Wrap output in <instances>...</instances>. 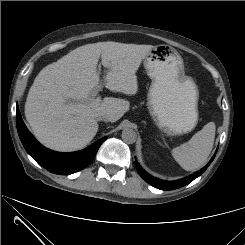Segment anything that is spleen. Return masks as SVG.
<instances>
[{"label":"spleen","mask_w":245,"mask_h":245,"mask_svg":"<svg viewBox=\"0 0 245 245\" xmlns=\"http://www.w3.org/2000/svg\"><path fill=\"white\" fill-rule=\"evenodd\" d=\"M215 131V123L209 122L187 143L172 150V156L184 170H196L206 163L213 148Z\"/></svg>","instance_id":"spleen-1"}]
</instances>
